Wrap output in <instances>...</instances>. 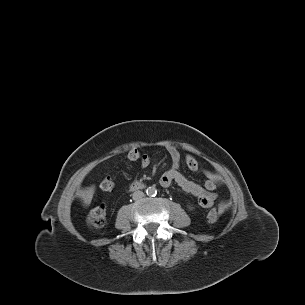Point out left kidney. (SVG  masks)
Here are the masks:
<instances>
[{
  "instance_id": "5707ae66",
  "label": "left kidney",
  "mask_w": 305,
  "mask_h": 305,
  "mask_svg": "<svg viewBox=\"0 0 305 305\" xmlns=\"http://www.w3.org/2000/svg\"><path fill=\"white\" fill-rule=\"evenodd\" d=\"M189 209H191V210H192V209H193V207L189 206Z\"/></svg>"
}]
</instances>
